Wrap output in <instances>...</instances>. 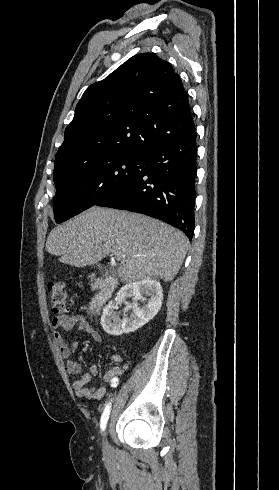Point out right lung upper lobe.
I'll list each match as a JSON object with an SVG mask.
<instances>
[{"mask_svg": "<svg viewBox=\"0 0 279 490\" xmlns=\"http://www.w3.org/2000/svg\"><path fill=\"white\" fill-rule=\"evenodd\" d=\"M194 132L179 75L155 54H138L84 92L56 154L54 177L109 154L146 158Z\"/></svg>", "mask_w": 279, "mask_h": 490, "instance_id": "1", "label": "right lung upper lobe"}]
</instances>
